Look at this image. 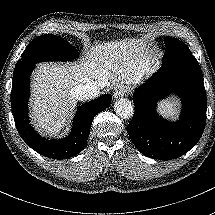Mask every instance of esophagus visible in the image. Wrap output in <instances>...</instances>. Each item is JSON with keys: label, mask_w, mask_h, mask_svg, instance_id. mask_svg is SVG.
<instances>
[{"label": "esophagus", "mask_w": 215, "mask_h": 215, "mask_svg": "<svg viewBox=\"0 0 215 215\" xmlns=\"http://www.w3.org/2000/svg\"><path fill=\"white\" fill-rule=\"evenodd\" d=\"M123 91L122 90H116L115 92H114V94H113V97L115 98V99H117V98H121L122 96H123Z\"/></svg>", "instance_id": "34e87169"}]
</instances>
